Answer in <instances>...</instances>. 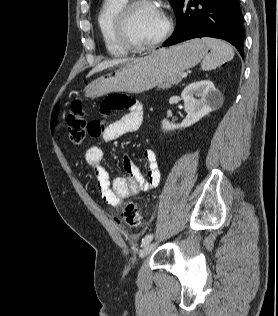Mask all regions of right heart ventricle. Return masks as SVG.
Masks as SVG:
<instances>
[{"label": "right heart ventricle", "instance_id": "1", "mask_svg": "<svg viewBox=\"0 0 278 316\" xmlns=\"http://www.w3.org/2000/svg\"><path fill=\"white\" fill-rule=\"evenodd\" d=\"M128 0H103L97 16L98 29L104 46L112 56H123L128 49L119 41L115 30V19L118 12Z\"/></svg>", "mask_w": 278, "mask_h": 316}]
</instances>
